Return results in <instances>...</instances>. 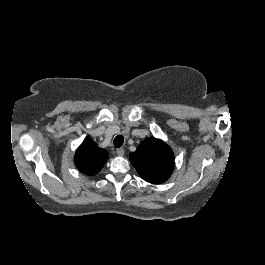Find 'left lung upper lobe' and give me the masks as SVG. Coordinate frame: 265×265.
Here are the masks:
<instances>
[{
  "mask_svg": "<svg viewBox=\"0 0 265 265\" xmlns=\"http://www.w3.org/2000/svg\"><path fill=\"white\" fill-rule=\"evenodd\" d=\"M130 161L140 176L154 184L165 182L174 168V154L160 139H145L135 152L130 153Z\"/></svg>",
  "mask_w": 265,
  "mask_h": 265,
  "instance_id": "obj_1",
  "label": "left lung upper lobe"
}]
</instances>
